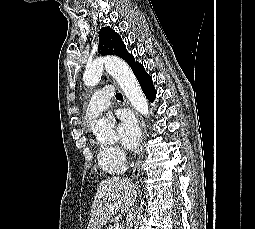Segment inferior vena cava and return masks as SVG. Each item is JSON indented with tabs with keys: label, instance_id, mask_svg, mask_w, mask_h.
I'll use <instances>...</instances> for the list:
<instances>
[{
	"label": "inferior vena cava",
	"instance_id": "602c4592",
	"mask_svg": "<svg viewBox=\"0 0 255 229\" xmlns=\"http://www.w3.org/2000/svg\"><path fill=\"white\" fill-rule=\"evenodd\" d=\"M132 218H133V214L130 213V214H129V220H128V222H127V228H126V229H132V227H133Z\"/></svg>",
	"mask_w": 255,
	"mask_h": 229
}]
</instances>
